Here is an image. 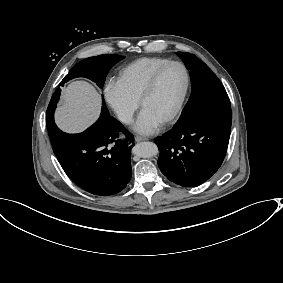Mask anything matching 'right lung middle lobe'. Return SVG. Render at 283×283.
<instances>
[{
    "instance_id": "obj_1",
    "label": "right lung middle lobe",
    "mask_w": 283,
    "mask_h": 283,
    "mask_svg": "<svg viewBox=\"0 0 283 283\" xmlns=\"http://www.w3.org/2000/svg\"><path fill=\"white\" fill-rule=\"evenodd\" d=\"M122 59H124V56L114 54H104L84 59L71 68L68 75L62 80L60 84H64L65 82L76 77H86L94 81L100 88H102L109 70ZM59 95L60 93L58 91L57 95L55 97H52L53 106H56ZM102 108H106L104 98ZM50 139L52 145H55V137L50 136Z\"/></svg>"
}]
</instances>
